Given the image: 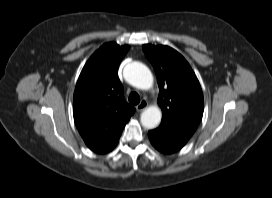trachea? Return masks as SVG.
<instances>
[{
  "instance_id": "trachea-1",
  "label": "trachea",
  "mask_w": 272,
  "mask_h": 198,
  "mask_svg": "<svg viewBox=\"0 0 272 198\" xmlns=\"http://www.w3.org/2000/svg\"><path fill=\"white\" fill-rule=\"evenodd\" d=\"M129 102L133 105H137L140 102V96L137 92H131L129 95Z\"/></svg>"
}]
</instances>
